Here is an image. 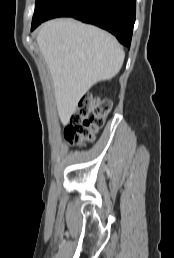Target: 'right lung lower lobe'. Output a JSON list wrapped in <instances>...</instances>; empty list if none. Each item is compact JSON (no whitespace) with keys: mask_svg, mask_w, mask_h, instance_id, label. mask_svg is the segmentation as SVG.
I'll return each instance as SVG.
<instances>
[{"mask_svg":"<svg viewBox=\"0 0 174 258\" xmlns=\"http://www.w3.org/2000/svg\"><path fill=\"white\" fill-rule=\"evenodd\" d=\"M135 15L136 0H60L44 21L72 17L109 31L129 48Z\"/></svg>","mask_w":174,"mask_h":258,"instance_id":"98d812e1","label":"right lung lower lobe"}]
</instances>
